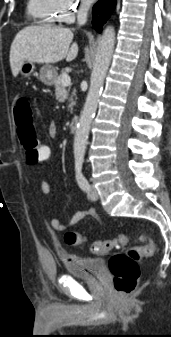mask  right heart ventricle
<instances>
[{
  "instance_id": "1",
  "label": "right heart ventricle",
  "mask_w": 171,
  "mask_h": 337,
  "mask_svg": "<svg viewBox=\"0 0 171 337\" xmlns=\"http://www.w3.org/2000/svg\"><path fill=\"white\" fill-rule=\"evenodd\" d=\"M27 13L43 24H51L59 20L52 0H28Z\"/></svg>"
}]
</instances>
